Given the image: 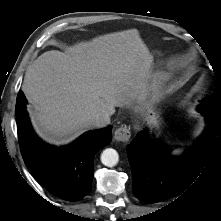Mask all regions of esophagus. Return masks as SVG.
<instances>
[{"label":"esophagus","mask_w":221,"mask_h":221,"mask_svg":"<svg viewBox=\"0 0 221 221\" xmlns=\"http://www.w3.org/2000/svg\"><path fill=\"white\" fill-rule=\"evenodd\" d=\"M131 137V131L129 126H121L114 132V139L118 142H128Z\"/></svg>","instance_id":"esophagus-1"}]
</instances>
